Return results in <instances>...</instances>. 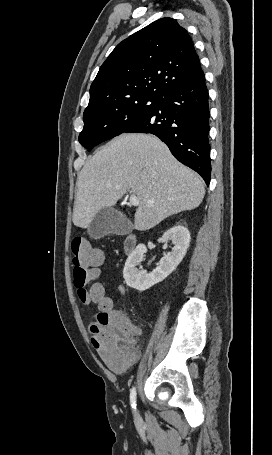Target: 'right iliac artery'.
I'll list each match as a JSON object with an SVG mask.
<instances>
[{"mask_svg": "<svg viewBox=\"0 0 272 455\" xmlns=\"http://www.w3.org/2000/svg\"><path fill=\"white\" fill-rule=\"evenodd\" d=\"M130 404L133 409H136V389L134 387L130 393Z\"/></svg>", "mask_w": 272, "mask_h": 455, "instance_id": "right-iliac-artery-1", "label": "right iliac artery"}]
</instances>
